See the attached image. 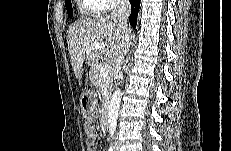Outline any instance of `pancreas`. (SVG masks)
Instances as JSON below:
<instances>
[{
	"label": "pancreas",
	"mask_w": 231,
	"mask_h": 151,
	"mask_svg": "<svg viewBox=\"0 0 231 151\" xmlns=\"http://www.w3.org/2000/svg\"><path fill=\"white\" fill-rule=\"evenodd\" d=\"M99 68H100V66L96 67L95 73L93 74L91 81L96 88H99V89L105 88L106 89V91L108 92L107 98L105 99V101H106V100H108V97L111 94L113 75H112V73H109L106 77H104L99 72Z\"/></svg>",
	"instance_id": "cf45deb5"
}]
</instances>
